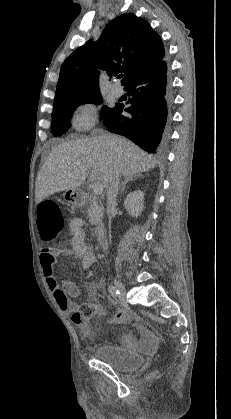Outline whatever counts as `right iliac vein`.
<instances>
[{
  "label": "right iliac vein",
  "instance_id": "63e3f726",
  "mask_svg": "<svg viewBox=\"0 0 231 419\" xmlns=\"http://www.w3.org/2000/svg\"><path fill=\"white\" fill-rule=\"evenodd\" d=\"M114 285H115L116 289L119 291L120 295L122 297H125L126 296V289H125V286L123 285V283L118 279H114Z\"/></svg>",
  "mask_w": 231,
  "mask_h": 419
}]
</instances>
